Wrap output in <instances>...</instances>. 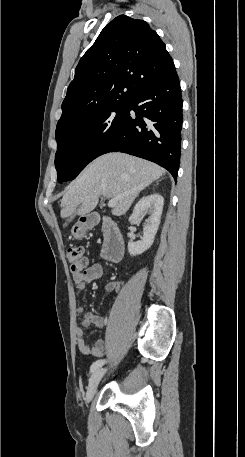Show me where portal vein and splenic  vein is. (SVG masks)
<instances>
[{
	"mask_svg": "<svg viewBox=\"0 0 245 457\" xmlns=\"http://www.w3.org/2000/svg\"><path fill=\"white\" fill-rule=\"evenodd\" d=\"M117 202L118 198H111V200L108 202V206H116Z\"/></svg>",
	"mask_w": 245,
	"mask_h": 457,
	"instance_id": "obj_1",
	"label": "portal vein and splenic vein"
}]
</instances>
